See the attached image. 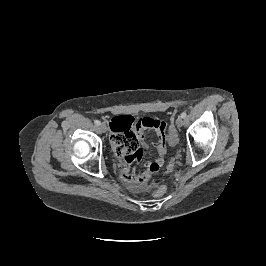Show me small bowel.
Instances as JSON below:
<instances>
[{
  "mask_svg": "<svg viewBox=\"0 0 266 266\" xmlns=\"http://www.w3.org/2000/svg\"><path fill=\"white\" fill-rule=\"evenodd\" d=\"M166 123L159 119L140 118L135 120L130 115L115 116L110 122L111 143L116 155L121 161V178L133 191H141L150 177L163 166L166 156V141H171V133L166 132ZM152 129L157 135L154 147L157 158L147 163V171L136 172L132 165L143 158V150L148 147L145 141V131ZM175 134V133H174Z\"/></svg>",
  "mask_w": 266,
  "mask_h": 266,
  "instance_id": "small-bowel-1",
  "label": "small bowel"
}]
</instances>
